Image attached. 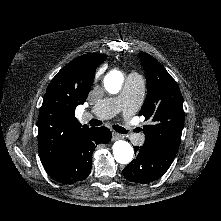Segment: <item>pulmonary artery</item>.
<instances>
[{
    "label": "pulmonary artery",
    "mask_w": 221,
    "mask_h": 221,
    "mask_svg": "<svg viewBox=\"0 0 221 221\" xmlns=\"http://www.w3.org/2000/svg\"><path fill=\"white\" fill-rule=\"evenodd\" d=\"M144 80L137 73H130L124 85V89L120 96L113 99H106L98 102L90 112L84 114V119L96 117L107 119L113 117L117 112L123 110L125 115H131L140 105L144 95ZM133 141L137 144L141 143V137L134 136Z\"/></svg>",
    "instance_id": "1"
}]
</instances>
